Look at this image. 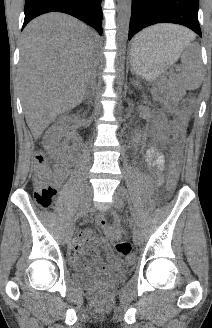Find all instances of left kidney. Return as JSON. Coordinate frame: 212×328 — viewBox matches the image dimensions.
Returning a JSON list of instances; mask_svg holds the SVG:
<instances>
[{"label":"left kidney","instance_id":"1","mask_svg":"<svg viewBox=\"0 0 212 328\" xmlns=\"http://www.w3.org/2000/svg\"><path fill=\"white\" fill-rule=\"evenodd\" d=\"M155 124L159 127V129L166 131L167 120L164 117L158 116Z\"/></svg>","mask_w":212,"mask_h":328}]
</instances>
